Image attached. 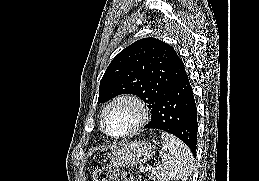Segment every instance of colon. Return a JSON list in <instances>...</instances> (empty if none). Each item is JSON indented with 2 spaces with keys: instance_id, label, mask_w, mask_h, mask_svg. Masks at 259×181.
Returning a JSON list of instances; mask_svg holds the SVG:
<instances>
[{
  "instance_id": "5ec220e1",
  "label": "colon",
  "mask_w": 259,
  "mask_h": 181,
  "mask_svg": "<svg viewBox=\"0 0 259 181\" xmlns=\"http://www.w3.org/2000/svg\"><path fill=\"white\" fill-rule=\"evenodd\" d=\"M93 181H132L130 174L111 169L107 165H97L92 172Z\"/></svg>"
}]
</instances>
